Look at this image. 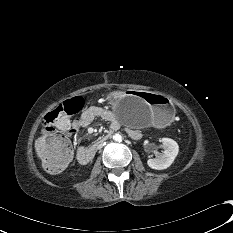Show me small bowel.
I'll list each match as a JSON object with an SVG mask.
<instances>
[{
  "mask_svg": "<svg viewBox=\"0 0 233 233\" xmlns=\"http://www.w3.org/2000/svg\"><path fill=\"white\" fill-rule=\"evenodd\" d=\"M97 118L109 122L112 126L117 124L115 116L110 110L94 105L85 109L81 115L73 121L68 120L67 128H58V131L67 136H70L77 133L81 128L87 127L93 120ZM130 133L131 135H136L137 131L132 130Z\"/></svg>",
  "mask_w": 233,
  "mask_h": 233,
  "instance_id": "small-bowel-1",
  "label": "small bowel"
}]
</instances>
